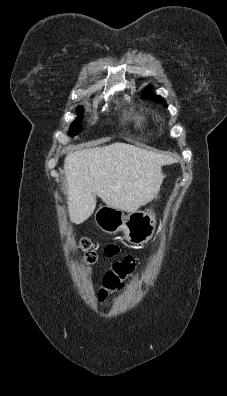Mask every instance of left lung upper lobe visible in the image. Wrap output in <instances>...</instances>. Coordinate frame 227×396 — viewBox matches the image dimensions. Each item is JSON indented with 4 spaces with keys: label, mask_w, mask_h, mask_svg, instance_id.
<instances>
[{
    "label": "left lung upper lobe",
    "mask_w": 227,
    "mask_h": 396,
    "mask_svg": "<svg viewBox=\"0 0 227 396\" xmlns=\"http://www.w3.org/2000/svg\"><path fill=\"white\" fill-rule=\"evenodd\" d=\"M142 97L145 98V99L148 98L150 100H154V101L162 103L164 106H166V103L162 99V97L155 95L153 92H151V89H149V91L145 92Z\"/></svg>",
    "instance_id": "1"
}]
</instances>
